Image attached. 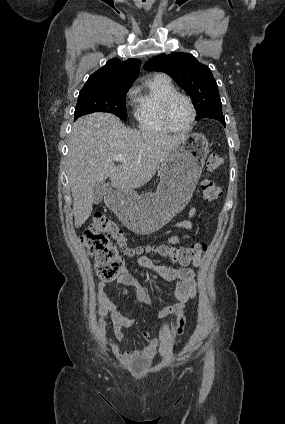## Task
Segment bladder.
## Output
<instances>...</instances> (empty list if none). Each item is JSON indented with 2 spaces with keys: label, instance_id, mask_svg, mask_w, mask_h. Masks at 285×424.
<instances>
[{
  "label": "bladder",
  "instance_id": "1",
  "mask_svg": "<svg viewBox=\"0 0 285 424\" xmlns=\"http://www.w3.org/2000/svg\"><path fill=\"white\" fill-rule=\"evenodd\" d=\"M150 363V358L143 352H135L129 366L136 371L142 369Z\"/></svg>",
  "mask_w": 285,
  "mask_h": 424
}]
</instances>
